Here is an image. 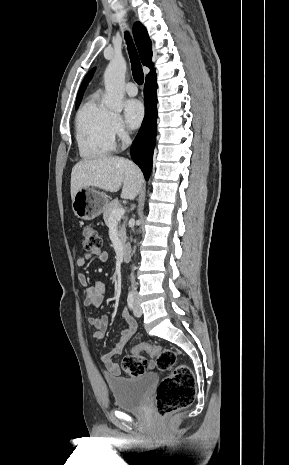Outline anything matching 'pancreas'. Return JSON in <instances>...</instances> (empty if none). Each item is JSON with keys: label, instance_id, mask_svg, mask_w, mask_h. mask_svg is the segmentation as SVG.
<instances>
[{"label": "pancreas", "instance_id": "cf45deb5", "mask_svg": "<svg viewBox=\"0 0 289 465\" xmlns=\"http://www.w3.org/2000/svg\"><path fill=\"white\" fill-rule=\"evenodd\" d=\"M119 208H121V204L118 202L117 199L113 200L106 206V208L103 211V218L107 226L111 223L110 217L112 212ZM119 237L121 242L124 244L126 242V228L124 224L119 227Z\"/></svg>", "mask_w": 289, "mask_h": 465}]
</instances>
